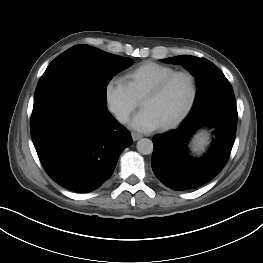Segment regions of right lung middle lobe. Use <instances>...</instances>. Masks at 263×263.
Instances as JSON below:
<instances>
[{
    "mask_svg": "<svg viewBox=\"0 0 263 263\" xmlns=\"http://www.w3.org/2000/svg\"><path fill=\"white\" fill-rule=\"evenodd\" d=\"M131 64V58L85 44L73 46L49 64L38 82L34 104L63 94H76L97 107L107 108L106 86L114 75Z\"/></svg>",
    "mask_w": 263,
    "mask_h": 263,
    "instance_id": "right-lung-middle-lobe-1",
    "label": "right lung middle lobe"
}]
</instances>
